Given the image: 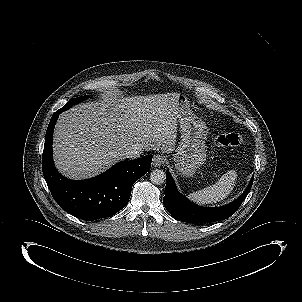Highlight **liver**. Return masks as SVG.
Segmentation results:
<instances>
[{
  "label": "liver",
  "instance_id": "1",
  "mask_svg": "<svg viewBox=\"0 0 302 302\" xmlns=\"http://www.w3.org/2000/svg\"><path fill=\"white\" fill-rule=\"evenodd\" d=\"M179 93L117 97L74 106L54 129L57 169L71 179L91 178L133 147L171 153L176 144Z\"/></svg>",
  "mask_w": 302,
  "mask_h": 302
}]
</instances>
